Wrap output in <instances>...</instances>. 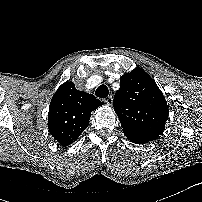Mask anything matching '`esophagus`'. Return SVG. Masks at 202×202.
Instances as JSON below:
<instances>
[{"instance_id":"34e87169","label":"esophagus","mask_w":202,"mask_h":202,"mask_svg":"<svg viewBox=\"0 0 202 202\" xmlns=\"http://www.w3.org/2000/svg\"><path fill=\"white\" fill-rule=\"evenodd\" d=\"M107 105H112L113 97L110 95L106 99L103 100Z\"/></svg>"}]
</instances>
